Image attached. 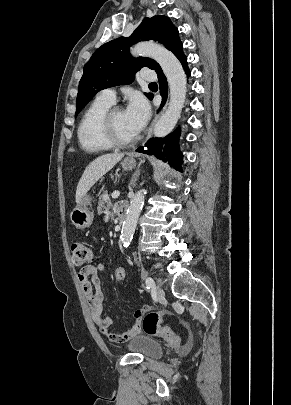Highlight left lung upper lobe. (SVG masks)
Wrapping results in <instances>:
<instances>
[{"instance_id":"1","label":"left lung upper lobe","mask_w":291,"mask_h":405,"mask_svg":"<svg viewBox=\"0 0 291 405\" xmlns=\"http://www.w3.org/2000/svg\"><path fill=\"white\" fill-rule=\"evenodd\" d=\"M140 40H155L168 50L180 41L177 28L166 16L145 18L130 37H120L99 47L85 64L79 83L76 114L100 90L130 84L134 74L142 67L156 70L159 64L146 57L132 58L129 47ZM150 98L152 94L146 93Z\"/></svg>"}]
</instances>
